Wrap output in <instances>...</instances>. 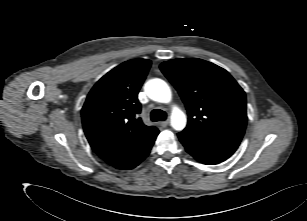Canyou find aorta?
I'll return each mask as SVG.
<instances>
[{"label":"aorta","instance_id":"obj_1","mask_svg":"<svg viewBox=\"0 0 307 221\" xmlns=\"http://www.w3.org/2000/svg\"><path fill=\"white\" fill-rule=\"evenodd\" d=\"M145 92L148 97L160 103H169L172 98L171 89L161 79H151L145 84ZM186 115L178 108H173L171 114V126L175 130H183L186 126Z\"/></svg>","mask_w":307,"mask_h":221}]
</instances>
